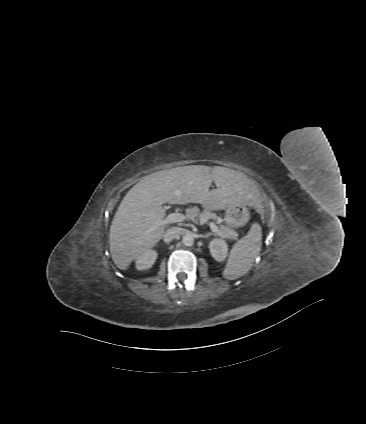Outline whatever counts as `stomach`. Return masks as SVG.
<instances>
[{"label":"stomach","mask_w":366,"mask_h":424,"mask_svg":"<svg viewBox=\"0 0 366 424\" xmlns=\"http://www.w3.org/2000/svg\"><path fill=\"white\" fill-rule=\"evenodd\" d=\"M244 217H249L247 205L234 204L226 208L224 221L229 227H238L241 225V219Z\"/></svg>","instance_id":"1"}]
</instances>
